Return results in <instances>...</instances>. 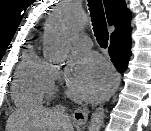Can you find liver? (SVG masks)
I'll list each match as a JSON object with an SVG mask.
<instances>
[{"mask_svg":"<svg viewBox=\"0 0 151 131\" xmlns=\"http://www.w3.org/2000/svg\"><path fill=\"white\" fill-rule=\"evenodd\" d=\"M72 131L73 127L64 115V109L35 106L19 109L7 121V131Z\"/></svg>","mask_w":151,"mask_h":131,"instance_id":"liver-1","label":"liver"}]
</instances>
